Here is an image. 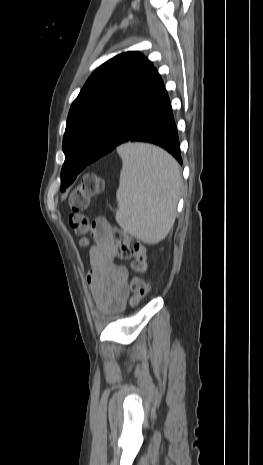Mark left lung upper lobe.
Instances as JSON below:
<instances>
[{"label": "left lung upper lobe", "mask_w": 263, "mask_h": 465, "mask_svg": "<svg viewBox=\"0 0 263 465\" xmlns=\"http://www.w3.org/2000/svg\"><path fill=\"white\" fill-rule=\"evenodd\" d=\"M152 68L146 57L131 51L111 58L92 73L68 114L62 146L65 159L75 156L86 161L93 155L118 110L136 96ZM61 180L64 190L69 184L63 175Z\"/></svg>", "instance_id": "1"}]
</instances>
